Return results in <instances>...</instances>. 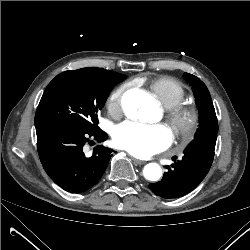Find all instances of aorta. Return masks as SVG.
<instances>
[{
  "mask_svg": "<svg viewBox=\"0 0 250 250\" xmlns=\"http://www.w3.org/2000/svg\"><path fill=\"white\" fill-rule=\"evenodd\" d=\"M145 92L139 90L130 91L123 100V109L129 116L138 113L142 120H152L154 117L153 110H147L143 107ZM144 177L150 181H157L162 175L161 167L156 163H149L144 167Z\"/></svg>",
  "mask_w": 250,
  "mask_h": 250,
  "instance_id": "1",
  "label": "aorta"
}]
</instances>
